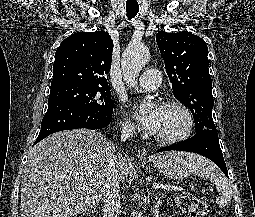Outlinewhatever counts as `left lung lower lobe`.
Listing matches in <instances>:
<instances>
[{
	"instance_id": "obj_1",
	"label": "left lung lower lobe",
	"mask_w": 255,
	"mask_h": 217,
	"mask_svg": "<svg viewBox=\"0 0 255 217\" xmlns=\"http://www.w3.org/2000/svg\"><path fill=\"white\" fill-rule=\"evenodd\" d=\"M170 150L188 151L203 155L218 165L228 177V171L223 159L216 130L204 129L200 132H196L190 139L184 140L178 144L160 148L157 152Z\"/></svg>"
}]
</instances>
